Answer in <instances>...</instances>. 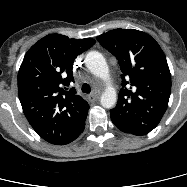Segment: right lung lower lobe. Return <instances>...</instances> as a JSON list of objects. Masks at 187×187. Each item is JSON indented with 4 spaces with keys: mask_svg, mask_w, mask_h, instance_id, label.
I'll return each instance as SVG.
<instances>
[{
    "mask_svg": "<svg viewBox=\"0 0 187 187\" xmlns=\"http://www.w3.org/2000/svg\"><path fill=\"white\" fill-rule=\"evenodd\" d=\"M83 129H84V126H83V127L81 128V130L70 140V142L74 141V140L82 133ZM70 142H68V143H70Z\"/></svg>",
    "mask_w": 187,
    "mask_h": 187,
    "instance_id": "1",
    "label": "right lung lower lobe"
}]
</instances>
